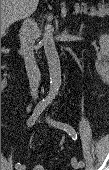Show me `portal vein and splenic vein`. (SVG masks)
I'll return each mask as SVG.
<instances>
[{
    "label": "portal vein and splenic vein",
    "instance_id": "portal-vein-and-splenic-vein-1",
    "mask_svg": "<svg viewBox=\"0 0 109 170\" xmlns=\"http://www.w3.org/2000/svg\"><path fill=\"white\" fill-rule=\"evenodd\" d=\"M79 13V9L75 8L74 14H78Z\"/></svg>",
    "mask_w": 109,
    "mask_h": 170
}]
</instances>
